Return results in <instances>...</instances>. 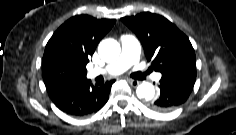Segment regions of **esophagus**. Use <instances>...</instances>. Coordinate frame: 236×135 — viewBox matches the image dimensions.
<instances>
[{
  "label": "esophagus",
  "instance_id": "obj_1",
  "mask_svg": "<svg viewBox=\"0 0 236 135\" xmlns=\"http://www.w3.org/2000/svg\"><path fill=\"white\" fill-rule=\"evenodd\" d=\"M127 80L133 87H136L140 84V81H138V80H134V79H130V78H128Z\"/></svg>",
  "mask_w": 236,
  "mask_h": 135
}]
</instances>
